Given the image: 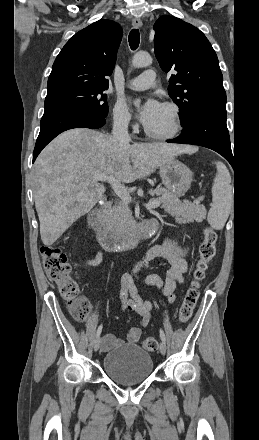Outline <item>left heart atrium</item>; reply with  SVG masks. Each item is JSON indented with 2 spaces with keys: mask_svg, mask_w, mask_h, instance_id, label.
<instances>
[{
  "mask_svg": "<svg viewBox=\"0 0 259 440\" xmlns=\"http://www.w3.org/2000/svg\"><path fill=\"white\" fill-rule=\"evenodd\" d=\"M162 104L155 98H147L138 108V118L145 125L148 126L159 115Z\"/></svg>",
  "mask_w": 259,
  "mask_h": 440,
  "instance_id": "obj_1",
  "label": "left heart atrium"
}]
</instances>
